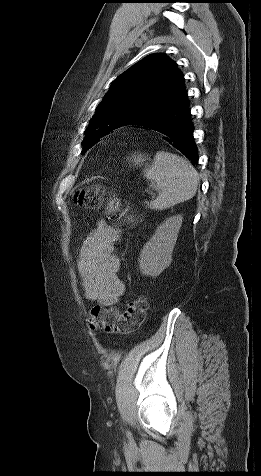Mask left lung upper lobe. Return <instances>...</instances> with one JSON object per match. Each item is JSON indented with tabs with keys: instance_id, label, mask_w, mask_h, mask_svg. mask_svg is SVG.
<instances>
[{
	"instance_id": "obj_1",
	"label": "left lung upper lobe",
	"mask_w": 261,
	"mask_h": 476,
	"mask_svg": "<svg viewBox=\"0 0 261 476\" xmlns=\"http://www.w3.org/2000/svg\"><path fill=\"white\" fill-rule=\"evenodd\" d=\"M185 96L174 61L159 53L145 57L111 83L86 129L83 152L109 131L159 115Z\"/></svg>"
}]
</instances>
